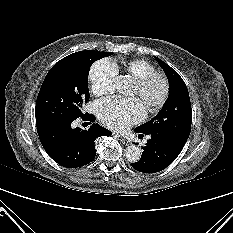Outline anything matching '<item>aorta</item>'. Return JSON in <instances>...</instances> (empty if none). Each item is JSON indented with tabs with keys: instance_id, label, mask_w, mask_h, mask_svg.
I'll return each mask as SVG.
<instances>
[{
	"instance_id": "obj_1",
	"label": "aorta",
	"mask_w": 233,
	"mask_h": 233,
	"mask_svg": "<svg viewBox=\"0 0 233 233\" xmlns=\"http://www.w3.org/2000/svg\"><path fill=\"white\" fill-rule=\"evenodd\" d=\"M132 80L128 76H118L115 80V87L119 93L128 94L131 89ZM142 151L141 149L131 144L129 145L124 152V156L127 161L135 163L138 162L141 158Z\"/></svg>"
}]
</instances>
